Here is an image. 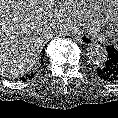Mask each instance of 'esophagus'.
I'll return each mask as SVG.
<instances>
[{"mask_svg":"<svg viewBox=\"0 0 118 118\" xmlns=\"http://www.w3.org/2000/svg\"><path fill=\"white\" fill-rule=\"evenodd\" d=\"M76 39L85 45H92V43L94 42L93 39L87 35L86 33L83 32H76Z\"/></svg>","mask_w":118,"mask_h":118,"instance_id":"34e87169","label":"esophagus"}]
</instances>
